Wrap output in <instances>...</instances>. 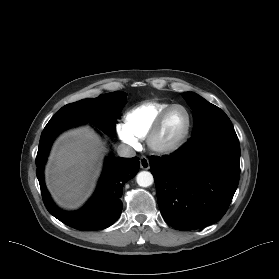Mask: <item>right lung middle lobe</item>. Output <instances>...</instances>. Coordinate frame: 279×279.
<instances>
[{
    "label": "right lung middle lobe",
    "instance_id": "obj_1",
    "mask_svg": "<svg viewBox=\"0 0 279 279\" xmlns=\"http://www.w3.org/2000/svg\"><path fill=\"white\" fill-rule=\"evenodd\" d=\"M126 97V93L116 91L65 105L50 119L45 128L66 123L88 122L106 134L115 136L116 120L126 103Z\"/></svg>",
    "mask_w": 279,
    "mask_h": 279
}]
</instances>
